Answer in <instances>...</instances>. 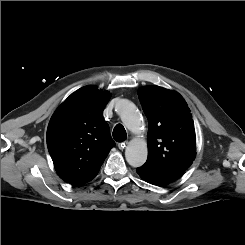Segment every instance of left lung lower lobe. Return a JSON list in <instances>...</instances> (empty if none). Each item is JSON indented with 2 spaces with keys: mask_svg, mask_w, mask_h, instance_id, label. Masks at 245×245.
<instances>
[{
  "mask_svg": "<svg viewBox=\"0 0 245 245\" xmlns=\"http://www.w3.org/2000/svg\"><path fill=\"white\" fill-rule=\"evenodd\" d=\"M137 174L146 182L156 185V186H167L173 182H175L177 179L169 178L166 176H162L159 174L152 173L150 171H147L142 168H137L136 169Z\"/></svg>",
  "mask_w": 245,
  "mask_h": 245,
  "instance_id": "1",
  "label": "left lung lower lobe"
}]
</instances>
